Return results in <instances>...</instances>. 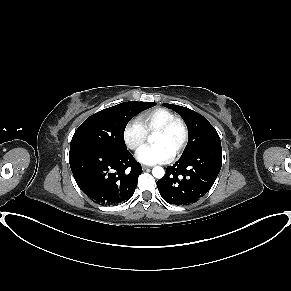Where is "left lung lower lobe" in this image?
Returning a JSON list of instances; mask_svg holds the SVG:
<instances>
[{
    "instance_id": "0a47b994",
    "label": "left lung lower lobe",
    "mask_w": 291,
    "mask_h": 291,
    "mask_svg": "<svg viewBox=\"0 0 291 291\" xmlns=\"http://www.w3.org/2000/svg\"><path fill=\"white\" fill-rule=\"evenodd\" d=\"M221 165V144L210 145L181 156L157 182L159 193L170 204L194 203L210 190Z\"/></svg>"
}]
</instances>
